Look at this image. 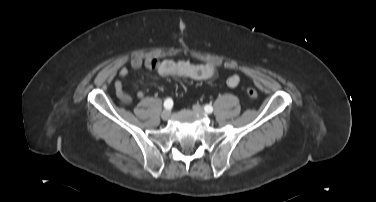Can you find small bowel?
Returning a JSON list of instances; mask_svg holds the SVG:
<instances>
[{
    "mask_svg": "<svg viewBox=\"0 0 376 202\" xmlns=\"http://www.w3.org/2000/svg\"><path fill=\"white\" fill-rule=\"evenodd\" d=\"M130 65L133 69H139L145 67L151 69L157 73L160 77H172L178 79H192V80H209L215 77L217 73V65L206 63L196 64L186 60H158L156 58L141 57L132 58ZM129 74V68L124 66L118 71V75L121 78L127 77ZM239 83V77L235 74L231 75L227 79V85L229 87H236ZM114 92L116 97L124 104L131 102V96L124 90L123 84L120 80L114 82ZM136 97L142 99L144 92L139 90L136 92Z\"/></svg>",
    "mask_w": 376,
    "mask_h": 202,
    "instance_id": "c3829d8e",
    "label": "small bowel"
}]
</instances>
